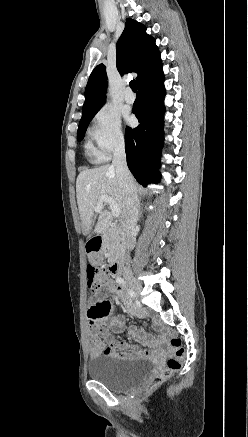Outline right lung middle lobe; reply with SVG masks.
<instances>
[{
	"label": "right lung middle lobe",
	"instance_id": "obj_1",
	"mask_svg": "<svg viewBox=\"0 0 248 437\" xmlns=\"http://www.w3.org/2000/svg\"><path fill=\"white\" fill-rule=\"evenodd\" d=\"M93 117L94 116H89V117H87V118H85V119L80 121L79 127H78V134H77L78 135V137H77L78 141H81L84 138L87 126H88L89 122L92 120Z\"/></svg>",
	"mask_w": 248,
	"mask_h": 437
}]
</instances>
